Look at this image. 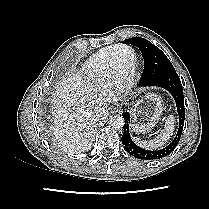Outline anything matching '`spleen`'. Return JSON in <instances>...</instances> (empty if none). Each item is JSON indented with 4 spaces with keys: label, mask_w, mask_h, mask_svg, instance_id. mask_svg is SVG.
Returning <instances> with one entry per match:
<instances>
[{
    "label": "spleen",
    "mask_w": 209,
    "mask_h": 209,
    "mask_svg": "<svg viewBox=\"0 0 209 209\" xmlns=\"http://www.w3.org/2000/svg\"><path fill=\"white\" fill-rule=\"evenodd\" d=\"M174 121L175 118L173 115L168 116L164 125V130H162L156 138L150 141L140 140L139 138H134V140L139 146L143 148L157 149L159 147H162L170 139V136L174 133Z\"/></svg>",
    "instance_id": "obj_1"
}]
</instances>
